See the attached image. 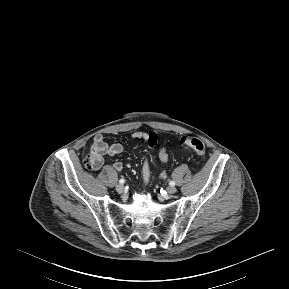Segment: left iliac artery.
Returning <instances> with one entry per match:
<instances>
[{
    "label": "left iliac artery",
    "mask_w": 289,
    "mask_h": 289,
    "mask_svg": "<svg viewBox=\"0 0 289 289\" xmlns=\"http://www.w3.org/2000/svg\"><path fill=\"white\" fill-rule=\"evenodd\" d=\"M175 184H176L175 181H170V182H169V185H170V186H175Z\"/></svg>",
    "instance_id": "1"
}]
</instances>
